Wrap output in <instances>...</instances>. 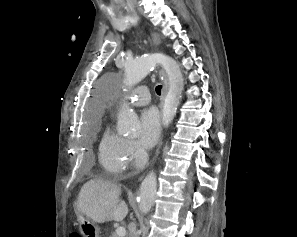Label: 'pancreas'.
<instances>
[{"label":"pancreas","mask_w":297,"mask_h":237,"mask_svg":"<svg viewBox=\"0 0 297 237\" xmlns=\"http://www.w3.org/2000/svg\"><path fill=\"white\" fill-rule=\"evenodd\" d=\"M110 237H118L117 234L113 233Z\"/></svg>","instance_id":"pancreas-1"}]
</instances>
